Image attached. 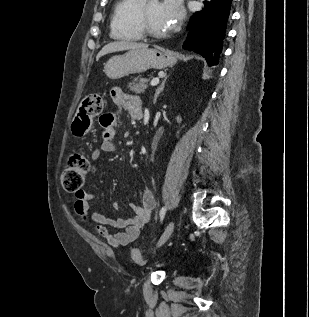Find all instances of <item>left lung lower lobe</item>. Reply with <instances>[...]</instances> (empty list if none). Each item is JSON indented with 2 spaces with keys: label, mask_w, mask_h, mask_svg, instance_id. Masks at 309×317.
Listing matches in <instances>:
<instances>
[{
  "label": "left lung lower lobe",
  "mask_w": 309,
  "mask_h": 317,
  "mask_svg": "<svg viewBox=\"0 0 309 317\" xmlns=\"http://www.w3.org/2000/svg\"><path fill=\"white\" fill-rule=\"evenodd\" d=\"M233 0L204 1V8L194 13L183 48L203 56L208 66L218 65L230 21Z\"/></svg>",
  "instance_id": "1"
}]
</instances>
